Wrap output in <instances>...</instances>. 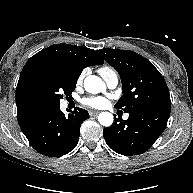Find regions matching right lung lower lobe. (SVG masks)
<instances>
[{
    "label": "right lung lower lobe",
    "mask_w": 193,
    "mask_h": 193,
    "mask_svg": "<svg viewBox=\"0 0 193 193\" xmlns=\"http://www.w3.org/2000/svg\"><path fill=\"white\" fill-rule=\"evenodd\" d=\"M89 118L85 109L75 108L65 116L60 106L48 108L20 126L31 146L40 154L57 157L72 151L78 143L80 126Z\"/></svg>",
    "instance_id": "98d812e1"
}]
</instances>
